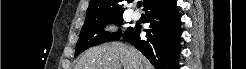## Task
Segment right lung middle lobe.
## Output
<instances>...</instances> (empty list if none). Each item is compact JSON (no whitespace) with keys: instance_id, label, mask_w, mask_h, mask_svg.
<instances>
[{"instance_id":"right-lung-middle-lobe-1","label":"right lung middle lobe","mask_w":246,"mask_h":69,"mask_svg":"<svg viewBox=\"0 0 246 69\" xmlns=\"http://www.w3.org/2000/svg\"><path fill=\"white\" fill-rule=\"evenodd\" d=\"M122 19L123 15H113L99 20L85 21L80 32L79 40L76 44L75 55L90 47L118 40L122 35L121 30L117 33H108L104 31V27L108 23H114L117 26H120L122 24Z\"/></svg>"}]
</instances>
